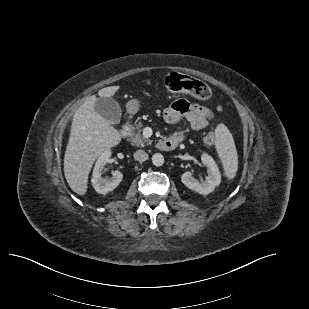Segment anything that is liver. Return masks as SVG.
Wrapping results in <instances>:
<instances>
[{
  "mask_svg": "<svg viewBox=\"0 0 309 309\" xmlns=\"http://www.w3.org/2000/svg\"><path fill=\"white\" fill-rule=\"evenodd\" d=\"M119 86L99 90L100 97L110 98ZM96 96L88 97L76 110L64 157V174L70 188L78 195L87 192L88 176L95 160L121 141V135L95 110Z\"/></svg>",
  "mask_w": 309,
  "mask_h": 309,
  "instance_id": "obj_1",
  "label": "liver"
}]
</instances>
